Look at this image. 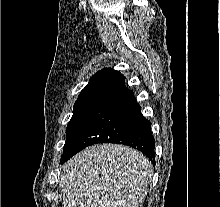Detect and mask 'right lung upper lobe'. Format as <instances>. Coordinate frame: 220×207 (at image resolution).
Returning a JSON list of instances; mask_svg holds the SVG:
<instances>
[{"label": "right lung upper lobe", "mask_w": 220, "mask_h": 207, "mask_svg": "<svg viewBox=\"0 0 220 207\" xmlns=\"http://www.w3.org/2000/svg\"><path fill=\"white\" fill-rule=\"evenodd\" d=\"M120 72L108 68V69H103L101 71H98L95 75H93L89 81V83L87 84V86L90 85H94V84H102L103 82H105L107 79L115 76L116 74H118Z\"/></svg>", "instance_id": "1"}]
</instances>
